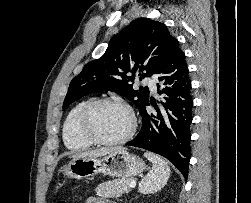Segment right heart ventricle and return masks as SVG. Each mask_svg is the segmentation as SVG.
<instances>
[{"instance_id": "right-heart-ventricle-1", "label": "right heart ventricle", "mask_w": 251, "mask_h": 203, "mask_svg": "<svg viewBox=\"0 0 251 203\" xmlns=\"http://www.w3.org/2000/svg\"><path fill=\"white\" fill-rule=\"evenodd\" d=\"M89 101H80L67 113L62 125V138L65 146L71 151H82L91 146V143L82 138L78 132L77 124L81 111Z\"/></svg>"}]
</instances>
